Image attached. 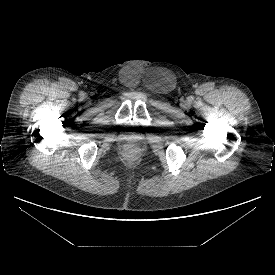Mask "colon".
<instances>
[{
    "mask_svg": "<svg viewBox=\"0 0 275 275\" xmlns=\"http://www.w3.org/2000/svg\"><path fill=\"white\" fill-rule=\"evenodd\" d=\"M138 154V150L135 147H129L127 149V155L129 157H135Z\"/></svg>",
    "mask_w": 275,
    "mask_h": 275,
    "instance_id": "obj_1",
    "label": "colon"
}]
</instances>
